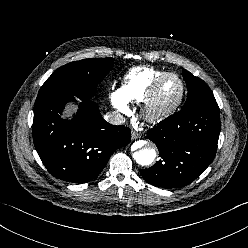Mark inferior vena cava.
I'll return each instance as SVG.
<instances>
[{
    "label": "inferior vena cava",
    "mask_w": 248,
    "mask_h": 248,
    "mask_svg": "<svg viewBox=\"0 0 248 248\" xmlns=\"http://www.w3.org/2000/svg\"><path fill=\"white\" fill-rule=\"evenodd\" d=\"M104 119L113 125H121L125 123V118L116 112H108L104 115Z\"/></svg>",
    "instance_id": "602c4592"
}]
</instances>
